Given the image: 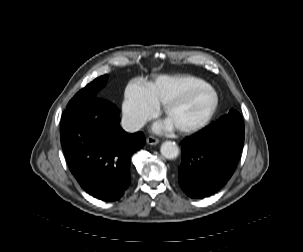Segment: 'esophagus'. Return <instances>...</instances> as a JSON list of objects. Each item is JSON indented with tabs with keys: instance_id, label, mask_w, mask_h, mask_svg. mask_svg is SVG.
I'll list each match as a JSON object with an SVG mask.
<instances>
[{
	"instance_id": "obj_1",
	"label": "esophagus",
	"mask_w": 303,
	"mask_h": 252,
	"mask_svg": "<svg viewBox=\"0 0 303 252\" xmlns=\"http://www.w3.org/2000/svg\"><path fill=\"white\" fill-rule=\"evenodd\" d=\"M146 142L149 145H157L160 141L156 137L150 136L146 139Z\"/></svg>"
}]
</instances>
